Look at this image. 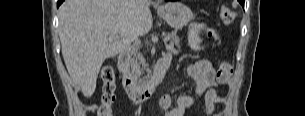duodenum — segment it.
Returning <instances> with one entry per match:
<instances>
[{
    "instance_id": "1",
    "label": "duodenum",
    "mask_w": 305,
    "mask_h": 116,
    "mask_svg": "<svg viewBox=\"0 0 305 116\" xmlns=\"http://www.w3.org/2000/svg\"><path fill=\"white\" fill-rule=\"evenodd\" d=\"M129 62L130 56L127 53L119 55L117 64L121 73L122 84L130 101L133 104H141L146 102L162 84L165 79L171 59L167 56L161 58L156 64L149 81L140 86L134 84L128 76Z\"/></svg>"
}]
</instances>
